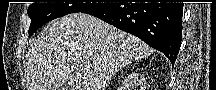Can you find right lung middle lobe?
<instances>
[{"mask_svg": "<svg viewBox=\"0 0 216 90\" xmlns=\"http://www.w3.org/2000/svg\"><path fill=\"white\" fill-rule=\"evenodd\" d=\"M106 3H33L28 8L31 19L29 35L35 33L43 24L67 14L77 13L99 7Z\"/></svg>", "mask_w": 216, "mask_h": 90, "instance_id": "1", "label": "right lung middle lobe"}]
</instances>
